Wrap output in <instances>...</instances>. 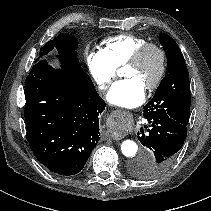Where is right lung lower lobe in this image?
Listing matches in <instances>:
<instances>
[{
  "label": "right lung lower lobe",
  "instance_id": "obj_1",
  "mask_svg": "<svg viewBox=\"0 0 211 211\" xmlns=\"http://www.w3.org/2000/svg\"><path fill=\"white\" fill-rule=\"evenodd\" d=\"M59 59V70L46 61L32 67L25 81L24 116L36 158L54 173L75 175L99 141V115L106 104L82 68Z\"/></svg>",
  "mask_w": 211,
  "mask_h": 211
}]
</instances>
